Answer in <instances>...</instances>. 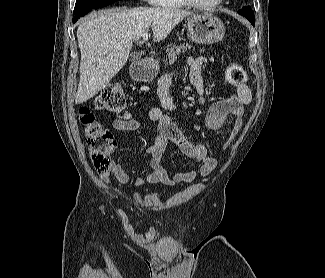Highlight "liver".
Instances as JSON below:
<instances>
[{"mask_svg":"<svg viewBox=\"0 0 325 278\" xmlns=\"http://www.w3.org/2000/svg\"><path fill=\"white\" fill-rule=\"evenodd\" d=\"M190 15L171 8L137 7L104 10L86 17L77 29L81 61L75 103L91 99L107 86L125 65L132 44L150 27L154 41L159 42Z\"/></svg>","mask_w":325,"mask_h":278,"instance_id":"obj_1","label":"liver"}]
</instances>
